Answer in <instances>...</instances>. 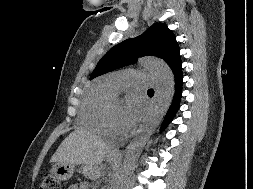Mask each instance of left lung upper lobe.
<instances>
[{"mask_svg": "<svg viewBox=\"0 0 253 189\" xmlns=\"http://www.w3.org/2000/svg\"><path fill=\"white\" fill-rule=\"evenodd\" d=\"M179 46L173 32L165 24L154 23L142 35L112 47L98 62L90 79L125 65L138 57L153 55L163 59L172 70L181 63Z\"/></svg>", "mask_w": 253, "mask_h": 189, "instance_id": "obj_1", "label": "left lung upper lobe"}]
</instances>
